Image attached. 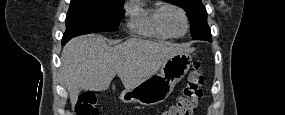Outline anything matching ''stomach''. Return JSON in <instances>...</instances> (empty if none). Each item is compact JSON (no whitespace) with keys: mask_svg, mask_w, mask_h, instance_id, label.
<instances>
[{"mask_svg":"<svg viewBox=\"0 0 285 115\" xmlns=\"http://www.w3.org/2000/svg\"><path fill=\"white\" fill-rule=\"evenodd\" d=\"M188 53L177 54L164 62L159 74L143 80L133 88L125 89L120 94L124 103H139L153 106L165 101L175 85L187 74L191 65Z\"/></svg>","mask_w":285,"mask_h":115,"instance_id":"stomach-1","label":"stomach"}]
</instances>
